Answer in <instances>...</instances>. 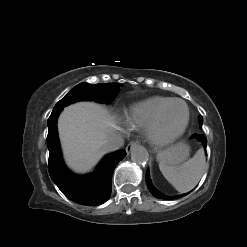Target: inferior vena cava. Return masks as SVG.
<instances>
[{
    "mask_svg": "<svg viewBox=\"0 0 247 247\" xmlns=\"http://www.w3.org/2000/svg\"><path fill=\"white\" fill-rule=\"evenodd\" d=\"M124 145V140L121 136L112 137L105 145L108 152L116 151Z\"/></svg>",
    "mask_w": 247,
    "mask_h": 247,
    "instance_id": "inferior-vena-cava-1",
    "label": "inferior vena cava"
}]
</instances>
